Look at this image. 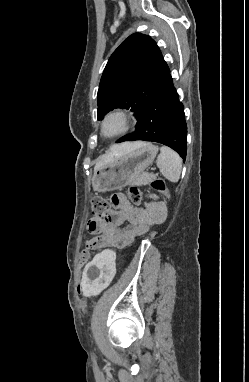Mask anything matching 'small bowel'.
<instances>
[{
  "label": "small bowel",
  "instance_id": "1",
  "mask_svg": "<svg viewBox=\"0 0 249 382\" xmlns=\"http://www.w3.org/2000/svg\"><path fill=\"white\" fill-rule=\"evenodd\" d=\"M110 201L113 209L107 215L93 216L88 221L87 230L95 235L87 241L89 248L110 250L125 247L151 226L163 223L167 217V209L163 205L137 207L123 194L112 195ZM124 223H128V227H122Z\"/></svg>",
  "mask_w": 249,
  "mask_h": 382
}]
</instances>
